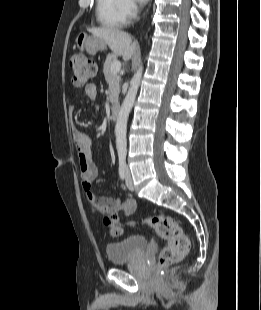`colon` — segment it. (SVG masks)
Here are the masks:
<instances>
[{
  "label": "colon",
  "mask_w": 261,
  "mask_h": 310,
  "mask_svg": "<svg viewBox=\"0 0 261 310\" xmlns=\"http://www.w3.org/2000/svg\"><path fill=\"white\" fill-rule=\"evenodd\" d=\"M72 83L76 87H83L92 80L97 73V65L83 54H75L70 59ZM105 224L113 227L112 235L120 234L117 215H109L104 219ZM156 233L166 241L165 247L159 254L158 264L166 266L181 260L189 251V240L185 236L180 224L172 217L154 215L145 220ZM131 227L136 225L134 220L129 222Z\"/></svg>",
  "instance_id": "1"
}]
</instances>
